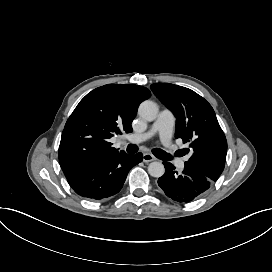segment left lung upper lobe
I'll list each match as a JSON object with an SVG mask.
<instances>
[{
  "instance_id": "left-lung-upper-lobe-1",
  "label": "left lung upper lobe",
  "mask_w": 272,
  "mask_h": 272,
  "mask_svg": "<svg viewBox=\"0 0 272 272\" xmlns=\"http://www.w3.org/2000/svg\"><path fill=\"white\" fill-rule=\"evenodd\" d=\"M151 89L175 115V137L190 142L193 154L185 168L215 182L225 166L227 141L211 105L194 91L178 85L156 83Z\"/></svg>"
}]
</instances>
